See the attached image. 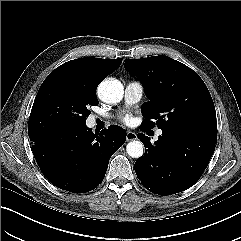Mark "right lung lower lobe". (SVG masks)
<instances>
[{
  "label": "right lung lower lobe",
  "instance_id": "right-lung-lower-lobe-1",
  "mask_svg": "<svg viewBox=\"0 0 241 241\" xmlns=\"http://www.w3.org/2000/svg\"><path fill=\"white\" fill-rule=\"evenodd\" d=\"M29 138L41 171L54 186L85 193L102 182L110 157L126 141V131L111 125L93 133L84 125Z\"/></svg>",
  "mask_w": 241,
  "mask_h": 241
}]
</instances>
